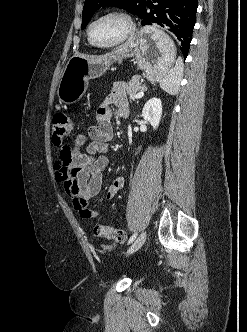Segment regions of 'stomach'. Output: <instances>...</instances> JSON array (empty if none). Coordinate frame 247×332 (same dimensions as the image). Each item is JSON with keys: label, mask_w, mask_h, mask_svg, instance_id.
Returning a JSON list of instances; mask_svg holds the SVG:
<instances>
[{"label": "stomach", "mask_w": 247, "mask_h": 332, "mask_svg": "<svg viewBox=\"0 0 247 332\" xmlns=\"http://www.w3.org/2000/svg\"><path fill=\"white\" fill-rule=\"evenodd\" d=\"M135 56L140 69L153 82L165 77L173 67L176 48L171 38L155 26L141 28L118 51L101 60L73 56L61 75L57 97L61 104L78 102L88 88V81L102 76L115 61Z\"/></svg>", "instance_id": "1"}]
</instances>
